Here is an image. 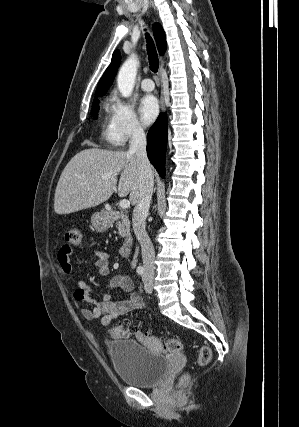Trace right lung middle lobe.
Listing matches in <instances>:
<instances>
[{
    "label": "right lung middle lobe",
    "instance_id": "right-lung-middle-lobe-1",
    "mask_svg": "<svg viewBox=\"0 0 299 427\" xmlns=\"http://www.w3.org/2000/svg\"><path fill=\"white\" fill-rule=\"evenodd\" d=\"M98 104H99L98 97L94 98L92 110H91L92 114H94V115H96V113L98 112V109H99Z\"/></svg>",
    "mask_w": 299,
    "mask_h": 427
}]
</instances>
